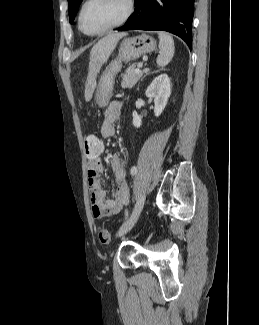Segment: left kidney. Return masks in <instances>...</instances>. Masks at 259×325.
Wrapping results in <instances>:
<instances>
[{"instance_id": "5707ae66", "label": "left kidney", "mask_w": 259, "mask_h": 325, "mask_svg": "<svg viewBox=\"0 0 259 325\" xmlns=\"http://www.w3.org/2000/svg\"><path fill=\"white\" fill-rule=\"evenodd\" d=\"M148 98L154 99V114L160 116L167 105L171 94V82L167 74L156 77L145 92ZM142 124L141 117L136 111L133 112V125L139 128Z\"/></svg>"}]
</instances>
